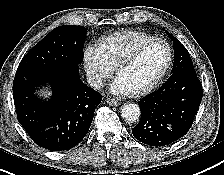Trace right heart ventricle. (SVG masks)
<instances>
[{"mask_svg": "<svg viewBox=\"0 0 224 175\" xmlns=\"http://www.w3.org/2000/svg\"><path fill=\"white\" fill-rule=\"evenodd\" d=\"M153 38V36L140 31H120L102 38L98 48L108 62L116 67L138 45Z\"/></svg>", "mask_w": 224, "mask_h": 175, "instance_id": "obj_1", "label": "right heart ventricle"}]
</instances>
